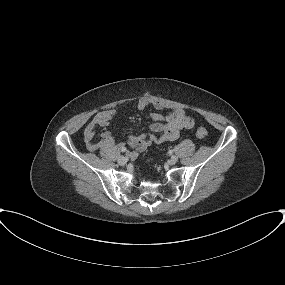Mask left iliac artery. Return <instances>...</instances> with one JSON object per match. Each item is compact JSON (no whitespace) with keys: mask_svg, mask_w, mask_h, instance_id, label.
<instances>
[{"mask_svg":"<svg viewBox=\"0 0 285 285\" xmlns=\"http://www.w3.org/2000/svg\"><path fill=\"white\" fill-rule=\"evenodd\" d=\"M169 154H173V151H172V150H170V151H169Z\"/></svg>","mask_w":285,"mask_h":285,"instance_id":"obj_1","label":"left iliac artery"}]
</instances>
